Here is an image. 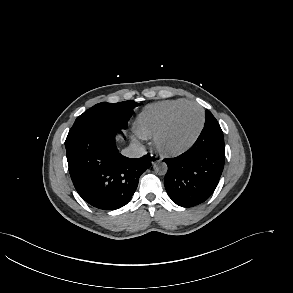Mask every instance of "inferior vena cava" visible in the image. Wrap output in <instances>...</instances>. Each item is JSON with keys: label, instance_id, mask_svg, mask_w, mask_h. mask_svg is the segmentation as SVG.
I'll return each mask as SVG.
<instances>
[{"label": "inferior vena cava", "instance_id": "602c4592", "mask_svg": "<svg viewBox=\"0 0 293 293\" xmlns=\"http://www.w3.org/2000/svg\"><path fill=\"white\" fill-rule=\"evenodd\" d=\"M122 154L129 158H140L146 154V150L142 144L133 143L122 150Z\"/></svg>", "mask_w": 293, "mask_h": 293}]
</instances>
